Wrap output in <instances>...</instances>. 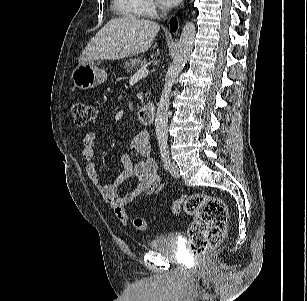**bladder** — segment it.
<instances>
[{
	"mask_svg": "<svg viewBox=\"0 0 307 301\" xmlns=\"http://www.w3.org/2000/svg\"><path fill=\"white\" fill-rule=\"evenodd\" d=\"M179 233L170 232L157 236L151 243L150 249L153 252L160 253L167 258L177 259L179 254L178 240Z\"/></svg>",
	"mask_w": 307,
	"mask_h": 301,
	"instance_id": "31cf9c89",
	"label": "bladder"
}]
</instances>
